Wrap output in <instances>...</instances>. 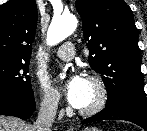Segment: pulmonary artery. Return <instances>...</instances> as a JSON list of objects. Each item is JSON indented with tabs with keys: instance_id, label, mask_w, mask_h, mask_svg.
I'll list each match as a JSON object with an SVG mask.
<instances>
[{
	"instance_id": "pulmonary-artery-1",
	"label": "pulmonary artery",
	"mask_w": 147,
	"mask_h": 131,
	"mask_svg": "<svg viewBox=\"0 0 147 131\" xmlns=\"http://www.w3.org/2000/svg\"><path fill=\"white\" fill-rule=\"evenodd\" d=\"M56 55L64 61L71 60L75 55V47H74L73 43L72 42L63 43L56 50Z\"/></svg>"
}]
</instances>
